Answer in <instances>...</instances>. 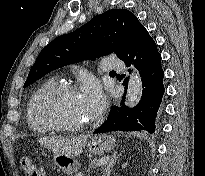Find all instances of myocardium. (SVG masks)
I'll return each mask as SVG.
<instances>
[{"instance_id": "myocardium-1", "label": "myocardium", "mask_w": 205, "mask_h": 176, "mask_svg": "<svg viewBox=\"0 0 205 176\" xmlns=\"http://www.w3.org/2000/svg\"><path fill=\"white\" fill-rule=\"evenodd\" d=\"M76 88L74 85L69 83H56L45 92H43L38 98L35 105V116L36 119L44 124L49 126L52 129L65 132H77L91 124V120L88 119L84 123L73 125L65 124L60 122L56 117L47 112V105L57 96L64 93H75Z\"/></svg>"}]
</instances>
